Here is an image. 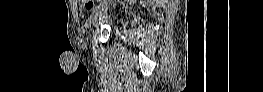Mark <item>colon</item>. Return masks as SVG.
<instances>
[{
  "mask_svg": "<svg viewBox=\"0 0 263 92\" xmlns=\"http://www.w3.org/2000/svg\"><path fill=\"white\" fill-rule=\"evenodd\" d=\"M78 2H80L84 8L92 9L91 3H93V1H91V0H80Z\"/></svg>",
  "mask_w": 263,
  "mask_h": 92,
  "instance_id": "obj_1",
  "label": "colon"
}]
</instances>
